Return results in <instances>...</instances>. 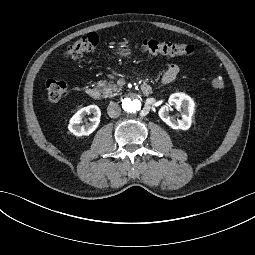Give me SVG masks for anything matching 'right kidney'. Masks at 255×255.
I'll return each mask as SVG.
<instances>
[{"mask_svg":"<svg viewBox=\"0 0 255 255\" xmlns=\"http://www.w3.org/2000/svg\"><path fill=\"white\" fill-rule=\"evenodd\" d=\"M93 114L94 117L91 118V123H86L85 125H80L82 119L85 115ZM101 111L96 105H90L84 107L77 111L73 117L70 119L68 129L76 136L89 135L91 134L100 123Z\"/></svg>","mask_w":255,"mask_h":255,"instance_id":"obj_1","label":"right kidney"}]
</instances>
